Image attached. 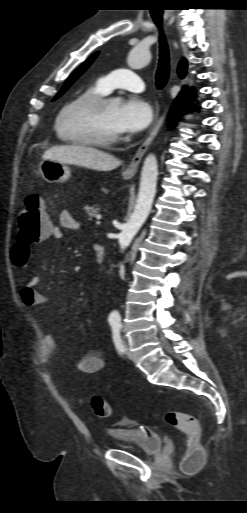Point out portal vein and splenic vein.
<instances>
[{"label": "portal vein and splenic vein", "mask_w": 247, "mask_h": 513, "mask_svg": "<svg viewBox=\"0 0 247 513\" xmlns=\"http://www.w3.org/2000/svg\"><path fill=\"white\" fill-rule=\"evenodd\" d=\"M100 223H101V222H100V220H97V221H96V224H100Z\"/></svg>", "instance_id": "obj_1"}]
</instances>
